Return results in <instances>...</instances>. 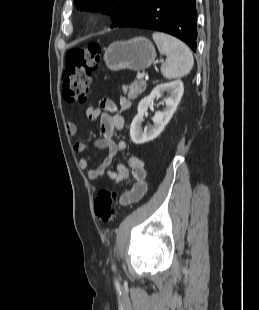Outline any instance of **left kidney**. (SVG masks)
<instances>
[{
  "label": "left kidney",
  "mask_w": 259,
  "mask_h": 310,
  "mask_svg": "<svg viewBox=\"0 0 259 310\" xmlns=\"http://www.w3.org/2000/svg\"><path fill=\"white\" fill-rule=\"evenodd\" d=\"M165 91L169 92V97L164 99L165 108L162 112H156L153 117V126L142 129V121L144 113L148 106L153 103L156 96H160ZM184 92L183 83L181 80L162 83L157 85L149 96L142 99L138 105V113L134 117L131 127L130 136L135 144H143L158 137L165 126L172 118Z\"/></svg>",
  "instance_id": "obj_1"
}]
</instances>
